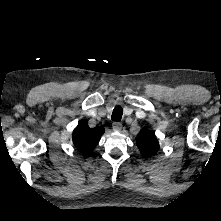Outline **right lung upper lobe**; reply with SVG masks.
I'll list each match as a JSON object with an SVG mask.
<instances>
[{
    "mask_svg": "<svg viewBox=\"0 0 221 221\" xmlns=\"http://www.w3.org/2000/svg\"><path fill=\"white\" fill-rule=\"evenodd\" d=\"M103 133V127L90 128L85 122H80L73 131V143L87 155L96 147Z\"/></svg>",
    "mask_w": 221,
    "mask_h": 221,
    "instance_id": "obj_1",
    "label": "right lung upper lobe"
}]
</instances>
